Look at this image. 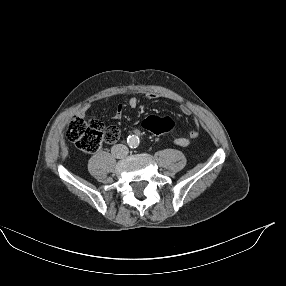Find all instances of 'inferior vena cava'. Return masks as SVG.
Returning a JSON list of instances; mask_svg holds the SVG:
<instances>
[{
	"instance_id": "obj_1",
	"label": "inferior vena cava",
	"mask_w": 286,
	"mask_h": 286,
	"mask_svg": "<svg viewBox=\"0 0 286 286\" xmlns=\"http://www.w3.org/2000/svg\"><path fill=\"white\" fill-rule=\"evenodd\" d=\"M129 149L123 144L114 145L111 149L112 155L117 159H123L128 155Z\"/></svg>"
}]
</instances>
